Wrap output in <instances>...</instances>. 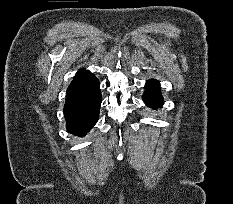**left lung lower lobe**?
Returning a JSON list of instances; mask_svg holds the SVG:
<instances>
[{
	"instance_id": "0a47b994",
	"label": "left lung lower lobe",
	"mask_w": 233,
	"mask_h": 204,
	"mask_svg": "<svg viewBox=\"0 0 233 204\" xmlns=\"http://www.w3.org/2000/svg\"><path fill=\"white\" fill-rule=\"evenodd\" d=\"M160 84L156 80H149L146 83V91L143 95V100L145 104L152 108L161 107L164 103L163 98L159 92Z\"/></svg>"
}]
</instances>
